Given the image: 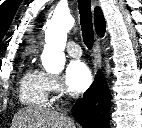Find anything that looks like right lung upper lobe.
<instances>
[{
  "label": "right lung upper lobe",
  "instance_id": "cb5924a9",
  "mask_svg": "<svg viewBox=\"0 0 142 128\" xmlns=\"http://www.w3.org/2000/svg\"><path fill=\"white\" fill-rule=\"evenodd\" d=\"M94 18H95L96 32L99 36H103L105 32V20L102 11L98 7L95 9Z\"/></svg>",
  "mask_w": 142,
  "mask_h": 128
}]
</instances>
